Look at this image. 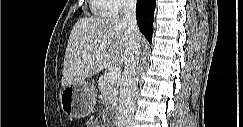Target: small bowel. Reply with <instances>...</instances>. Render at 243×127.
I'll return each mask as SVG.
<instances>
[{
	"instance_id": "small-bowel-1",
	"label": "small bowel",
	"mask_w": 243,
	"mask_h": 127,
	"mask_svg": "<svg viewBox=\"0 0 243 127\" xmlns=\"http://www.w3.org/2000/svg\"><path fill=\"white\" fill-rule=\"evenodd\" d=\"M98 126H99L98 123L94 121L88 124V127H98Z\"/></svg>"
}]
</instances>
